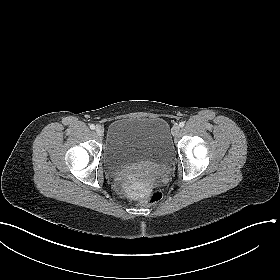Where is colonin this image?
Here are the masks:
<instances>
[{"label": "colon", "instance_id": "obj_1", "mask_svg": "<svg viewBox=\"0 0 280 280\" xmlns=\"http://www.w3.org/2000/svg\"><path fill=\"white\" fill-rule=\"evenodd\" d=\"M162 198V192L160 190H152L150 191L146 198H145V202L147 204H154V203H157L158 201H160Z\"/></svg>", "mask_w": 280, "mask_h": 280}]
</instances>
